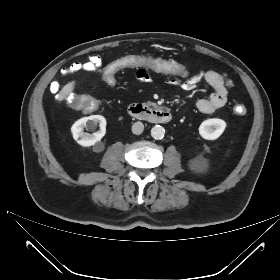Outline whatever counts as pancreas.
I'll use <instances>...</instances> for the list:
<instances>
[{"label": "pancreas", "instance_id": "obj_1", "mask_svg": "<svg viewBox=\"0 0 280 280\" xmlns=\"http://www.w3.org/2000/svg\"><path fill=\"white\" fill-rule=\"evenodd\" d=\"M147 106H155V104L154 103H152V102H147V103H145Z\"/></svg>", "mask_w": 280, "mask_h": 280}]
</instances>
